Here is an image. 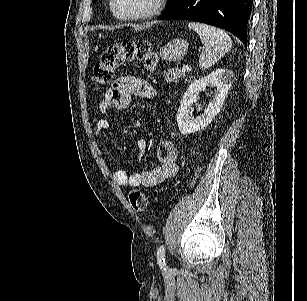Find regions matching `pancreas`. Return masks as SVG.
Segmentation results:
<instances>
[{
    "label": "pancreas",
    "instance_id": "pancreas-1",
    "mask_svg": "<svg viewBox=\"0 0 307 301\" xmlns=\"http://www.w3.org/2000/svg\"><path fill=\"white\" fill-rule=\"evenodd\" d=\"M184 78L186 76V72H182V70H173V68H168L164 72V80H169V82H177L180 78ZM190 80L192 76H189Z\"/></svg>",
    "mask_w": 307,
    "mask_h": 301
}]
</instances>
